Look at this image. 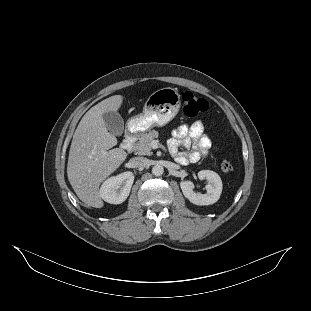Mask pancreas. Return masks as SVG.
Returning <instances> with one entry per match:
<instances>
[{
	"mask_svg": "<svg viewBox=\"0 0 311 311\" xmlns=\"http://www.w3.org/2000/svg\"><path fill=\"white\" fill-rule=\"evenodd\" d=\"M156 138H158V132L155 130L141 135L139 141L132 148L133 153L146 156L152 155L151 142Z\"/></svg>",
	"mask_w": 311,
	"mask_h": 311,
	"instance_id": "1",
	"label": "pancreas"
}]
</instances>
